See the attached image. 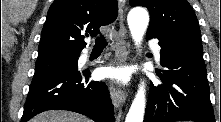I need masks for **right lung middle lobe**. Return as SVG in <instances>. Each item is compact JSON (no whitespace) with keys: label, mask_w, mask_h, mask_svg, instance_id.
<instances>
[{"label":"right lung middle lobe","mask_w":221,"mask_h":122,"mask_svg":"<svg viewBox=\"0 0 221 122\" xmlns=\"http://www.w3.org/2000/svg\"><path fill=\"white\" fill-rule=\"evenodd\" d=\"M78 57L79 55H73L37 60L34 77H41L58 71L76 70L78 68Z\"/></svg>","instance_id":"dd1d6c3e"}]
</instances>
